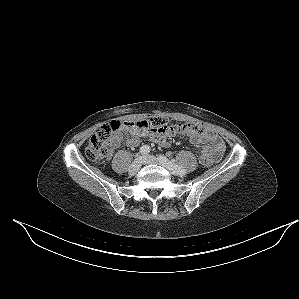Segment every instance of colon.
<instances>
[{"mask_svg":"<svg viewBox=\"0 0 299 299\" xmlns=\"http://www.w3.org/2000/svg\"><path fill=\"white\" fill-rule=\"evenodd\" d=\"M121 127L149 129L158 133L190 135L200 131L202 125L196 122L174 125L163 116H154L136 122H121L113 120L102 125L91 137L86 147L87 158L95 162H100L107 158L113 148V135ZM200 161L205 167H209L212 164V161L206 156H201Z\"/></svg>","mask_w":299,"mask_h":299,"instance_id":"obj_1","label":"colon"}]
</instances>
